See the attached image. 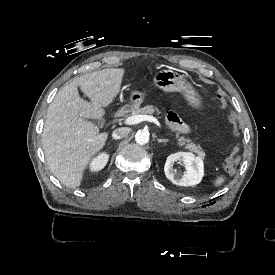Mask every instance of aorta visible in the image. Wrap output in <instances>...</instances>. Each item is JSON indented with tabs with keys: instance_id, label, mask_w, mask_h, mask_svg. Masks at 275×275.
Listing matches in <instances>:
<instances>
[{
	"instance_id": "762f6f07",
	"label": "aorta",
	"mask_w": 275,
	"mask_h": 275,
	"mask_svg": "<svg viewBox=\"0 0 275 275\" xmlns=\"http://www.w3.org/2000/svg\"><path fill=\"white\" fill-rule=\"evenodd\" d=\"M135 141L139 145H145L149 142V133L146 131L137 132L135 135Z\"/></svg>"
}]
</instances>
